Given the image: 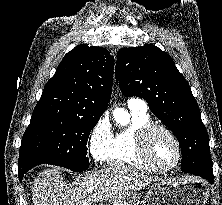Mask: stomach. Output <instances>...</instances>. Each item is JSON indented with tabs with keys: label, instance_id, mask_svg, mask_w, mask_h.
<instances>
[{
	"label": "stomach",
	"instance_id": "stomach-1",
	"mask_svg": "<svg viewBox=\"0 0 222 205\" xmlns=\"http://www.w3.org/2000/svg\"><path fill=\"white\" fill-rule=\"evenodd\" d=\"M209 189L200 180L183 177L162 179L149 187L143 205H205ZM121 205H138L136 193L118 201Z\"/></svg>",
	"mask_w": 222,
	"mask_h": 205
}]
</instances>
